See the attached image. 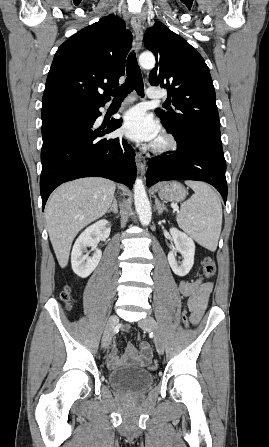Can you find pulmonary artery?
<instances>
[{
	"label": "pulmonary artery",
	"mask_w": 269,
	"mask_h": 447,
	"mask_svg": "<svg viewBox=\"0 0 269 447\" xmlns=\"http://www.w3.org/2000/svg\"><path fill=\"white\" fill-rule=\"evenodd\" d=\"M146 95H147L149 98H158V99H161V98H163L164 93H163V91H161V90H158V91H156V93H155V92L153 91L152 88H148V89L146 90Z\"/></svg>",
	"instance_id": "e3ab8cb5"
}]
</instances>
